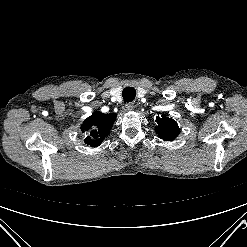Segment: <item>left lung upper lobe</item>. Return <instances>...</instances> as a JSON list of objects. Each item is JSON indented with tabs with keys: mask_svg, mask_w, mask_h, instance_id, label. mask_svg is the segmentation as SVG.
I'll return each instance as SVG.
<instances>
[{
	"mask_svg": "<svg viewBox=\"0 0 247 247\" xmlns=\"http://www.w3.org/2000/svg\"><path fill=\"white\" fill-rule=\"evenodd\" d=\"M157 127L155 128L156 133L165 141H171L175 139L180 133V129L177 122L172 118H168L165 115L157 117Z\"/></svg>",
	"mask_w": 247,
	"mask_h": 247,
	"instance_id": "obj_1",
	"label": "left lung upper lobe"
}]
</instances>
